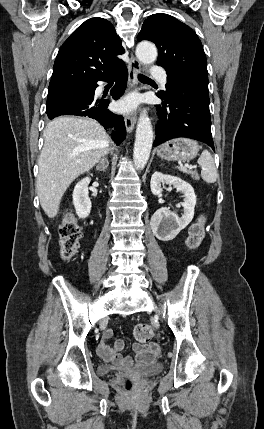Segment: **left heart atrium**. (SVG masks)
Returning a JSON list of instances; mask_svg holds the SVG:
<instances>
[{
    "label": "left heart atrium",
    "mask_w": 264,
    "mask_h": 429,
    "mask_svg": "<svg viewBox=\"0 0 264 429\" xmlns=\"http://www.w3.org/2000/svg\"><path fill=\"white\" fill-rule=\"evenodd\" d=\"M138 105V98L135 96H129L119 101L117 108L121 112H131Z\"/></svg>",
    "instance_id": "39dd6f15"
}]
</instances>
